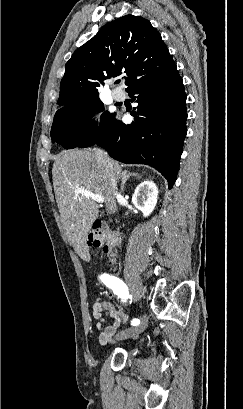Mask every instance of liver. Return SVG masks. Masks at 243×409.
Wrapping results in <instances>:
<instances>
[{
  "label": "liver",
  "instance_id": "liver-1",
  "mask_svg": "<svg viewBox=\"0 0 243 409\" xmlns=\"http://www.w3.org/2000/svg\"><path fill=\"white\" fill-rule=\"evenodd\" d=\"M112 168L98 162L94 152L69 150L60 153L53 164L52 178L61 222L69 242L77 253L87 249V235L97 219L96 201L76 195L77 188L87 189L103 196L106 210H117L111 174L116 181L127 175L118 162L111 160Z\"/></svg>",
  "mask_w": 243,
  "mask_h": 409
}]
</instances>
